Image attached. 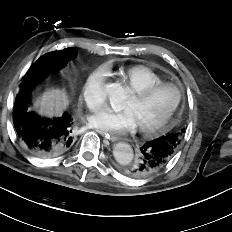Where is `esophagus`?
<instances>
[{
    "mask_svg": "<svg viewBox=\"0 0 232 232\" xmlns=\"http://www.w3.org/2000/svg\"><path fill=\"white\" fill-rule=\"evenodd\" d=\"M95 131L97 133H99L100 135H102L105 139L109 140V141H117V137L115 136H112L111 134L107 133V132H104L102 130H99V129H95Z\"/></svg>",
    "mask_w": 232,
    "mask_h": 232,
    "instance_id": "obj_1",
    "label": "esophagus"
}]
</instances>
